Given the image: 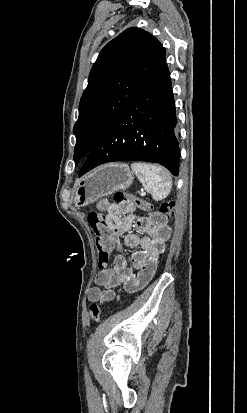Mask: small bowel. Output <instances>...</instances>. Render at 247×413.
Instances as JSON below:
<instances>
[{"label": "small bowel", "mask_w": 247, "mask_h": 413, "mask_svg": "<svg viewBox=\"0 0 247 413\" xmlns=\"http://www.w3.org/2000/svg\"><path fill=\"white\" fill-rule=\"evenodd\" d=\"M97 209L107 213L106 224L113 245L120 249V237L125 235L126 246L140 248L131 257L136 272L128 266L123 255H117L111 267L102 268L96 275V286L88 291V300L106 303L116 298L113 288L117 286L133 293L149 284L156 273L158 260L166 249L171 228L166 222L153 224L151 217H137L131 203H114L103 199L97 203ZM132 227L141 231L143 236L129 232Z\"/></svg>", "instance_id": "small-bowel-1"}]
</instances>
